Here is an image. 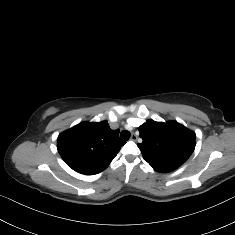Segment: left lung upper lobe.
<instances>
[{"label":"left lung upper lobe","mask_w":235,"mask_h":235,"mask_svg":"<svg viewBox=\"0 0 235 235\" xmlns=\"http://www.w3.org/2000/svg\"><path fill=\"white\" fill-rule=\"evenodd\" d=\"M138 130L143 141L137 146L149 164L179 167L195 149V133L176 121L147 120Z\"/></svg>","instance_id":"obj_1"}]
</instances>
